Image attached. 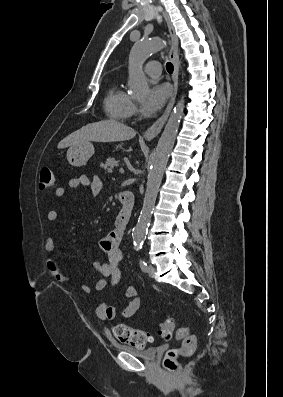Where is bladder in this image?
Here are the masks:
<instances>
[{"label":"bladder","mask_w":283,"mask_h":397,"mask_svg":"<svg viewBox=\"0 0 283 397\" xmlns=\"http://www.w3.org/2000/svg\"><path fill=\"white\" fill-rule=\"evenodd\" d=\"M116 347L124 352L134 354L146 360H153L158 353L157 347H148L143 349L128 345H117Z\"/></svg>","instance_id":"31cf9c89"}]
</instances>
